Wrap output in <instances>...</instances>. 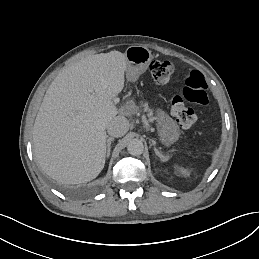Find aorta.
I'll return each mask as SVG.
<instances>
[{"mask_svg":"<svg viewBox=\"0 0 259 259\" xmlns=\"http://www.w3.org/2000/svg\"><path fill=\"white\" fill-rule=\"evenodd\" d=\"M127 150L133 156L141 155L144 151L143 142L139 139H132L128 143Z\"/></svg>","mask_w":259,"mask_h":259,"instance_id":"aorta-1","label":"aorta"}]
</instances>
